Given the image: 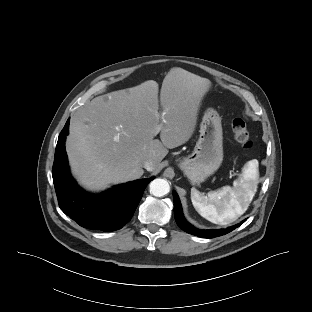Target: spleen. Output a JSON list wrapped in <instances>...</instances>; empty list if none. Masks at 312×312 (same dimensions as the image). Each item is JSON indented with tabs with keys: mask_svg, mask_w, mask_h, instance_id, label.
<instances>
[{
	"mask_svg": "<svg viewBox=\"0 0 312 312\" xmlns=\"http://www.w3.org/2000/svg\"><path fill=\"white\" fill-rule=\"evenodd\" d=\"M245 170L244 178L233 187L224 186L203 196L197 189H191V201L196 211L215 224L227 225L245 213L256 192V164Z\"/></svg>",
	"mask_w": 312,
	"mask_h": 312,
	"instance_id": "obj_1",
	"label": "spleen"
}]
</instances>
